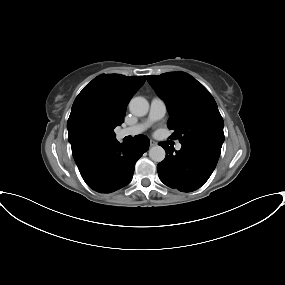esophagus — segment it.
I'll list each match as a JSON object with an SVG mask.
<instances>
[{
	"label": "esophagus",
	"instance_id": "1",
	"mask_svg": "<svg viewBox=\"0 0 285 285\" xmlns=\"http://www.w3.org/2000/svg\"><path fill=\"white\" fill-rule=\"evenodd\" d=\"M156 145H157L156 141L150 140V146H151V147L156 146Z\"/></svg>",
	"mask_w": 285,
	"mask_h": 285
}]
</instances>
